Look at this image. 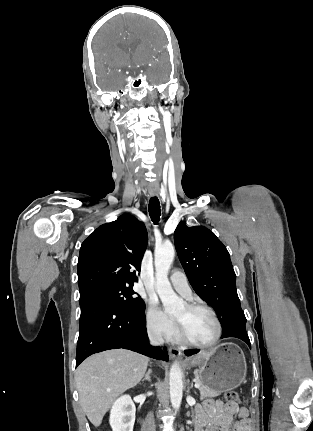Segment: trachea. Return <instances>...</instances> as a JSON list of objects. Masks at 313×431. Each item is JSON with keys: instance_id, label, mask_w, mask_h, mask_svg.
I'll return each instance as SVG.
<instances>
[{"instance_id": "trachea-1", "label": "trachea", "mask_w": 313, "mask_h": 431, "mask_svg": "<svg viewBox=\"0 0 313 431\" xmlns=\"http://www.w3.org/2000/svg\"><path fill=\"white\" fill-rule=\"evenodd\" d=\"M149 215L154 224H157L160 220V202L159 199L154 196L150 198L148 205Z\"/></svg>"}]
</instances>
